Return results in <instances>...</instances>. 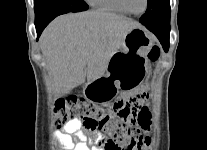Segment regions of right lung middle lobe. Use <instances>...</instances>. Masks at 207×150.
<instances>
[{"label": "right lung middle lobe", "instance_id": "1", "mask_svg": "<svg viewBox=\"0 0 207 150\" xmlns=\"http://www.w3.org/2000/svg\"><path fill=\"white\" fill-rule=\"evenodd\" d=\"M88 9L83 0H34L35 19L51 13L79 12Z\"/></svg>", "mask_w": 207, "mask_h": 150}]
</instances>
